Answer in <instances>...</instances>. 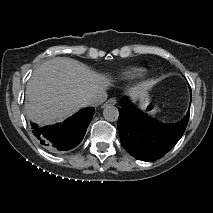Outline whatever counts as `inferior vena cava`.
Segmentation results:
<instances>
[{
  "label": "inferior vena cava",
  "instance_id": "obj_1",
  "mask_svg": "<svg viewBox=\"0 0 213 213\" xmlns=\"http://www.w3.org/2000/svg\"><path fill=\"white\" fill-rule=\"evenodd\" d=\"M107 93L105 91H100L97 94L92 95L91 97L85 100L86 106H98L102 104L107 99Z\"/></svg>",
  "mask_w": 213,
  "mask_h": 213
}]
</instances>
